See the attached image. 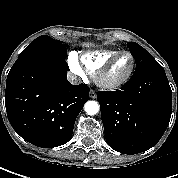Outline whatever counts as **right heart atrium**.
I'll return each mask as SVG.
<instances>
[{
  "label": "right heart atrium",
  "mask_w": 178,
  "mask_h": 178,
  "mask_svg": "<svg viewBox=\"0 0 178 178\" xmlns=\"http://www.w3.org/2000/svg\"><path fill=\"white\" fill-rule=\"evenodd\" d=\"M68 63L70 68L77 74H79L80 76H84L82 69L79 66L77 57L75 55H70L69 59H68Z\"/></svg>",
  "instance_id": "right-heart-atrium-1"
}]
</instances>
